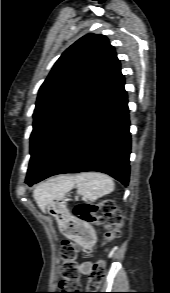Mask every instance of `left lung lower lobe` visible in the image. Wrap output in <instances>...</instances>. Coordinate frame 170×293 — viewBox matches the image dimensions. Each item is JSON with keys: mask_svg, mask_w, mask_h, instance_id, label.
<instances>
[{"mask_svg": "<svg viewBox=\"0 0 170 293\" xmlns=\"http://www.w3.org/2000/svg\"><path fill=\"white\" fill-rule=\"evenodd\" d=\"M127 103L122 76L45 170L28 176L26 183L31 186L57 174L98 171L127 186L131 149Z\"/></svg>", "mask_w": 170, "mask_h": 293, "instance_id": "obj_1", "label": "left lung lower lobe"}]
</instances>
